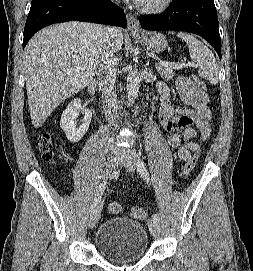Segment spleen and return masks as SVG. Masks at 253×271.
Listing matches in <instances>:
<instances>
[{"mask_svg": "<svg viewBox=\"0 0 253 271\" xmlns=\"http://www.w3.org/2000/svg\"><path fill=\"white\" fill-rule=\"evenodd\" d=\"M177 36L187 43L191 59L199 66V76L212 84H217L218 66L210 49L190 34L179 32Z\"/></svg>", "mask_w": 253, "mask_h": 271, "instance_id": "1", "label": "spleen"}]
</instances>
